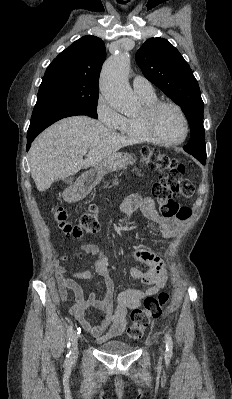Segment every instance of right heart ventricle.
Here are the masks:
<instances>
[{
  "instance_id": "1",
  "label": "right heart ventricle",
  "mask_w": 232,
  "mask_h": 399,
  "mask_svg": "<svg viewBox=\"0 0 232 399\" xmlns=\"http://www.w3.org/2000/svg\"><path fill=\"white\" fill-rule=\"evenodd\" d=\"M142 102L145 106L158 102L156 96H142ZM119 135L133 143H150L157 144L151 140L142 130L138 117H123L122 121L115 129Z\"/></svg>"
}]
</instances>
